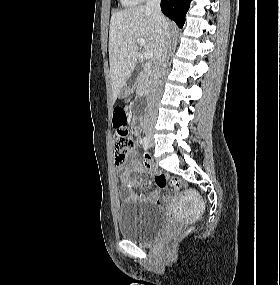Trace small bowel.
<instances>
[{
  "mask_svg": "<svg viewBox=\"0 0 280 285\" xmlns=\"http://www.w3.org/2000/svg\"><path fill=\"white\" fill-rule=\"evenodd\" d=\"M134 134L138 133V129H134ZM119 168V178L121 182L120 196L123 200H131L143 198L157 205H163L165 199L161 194V190L157 189L148 196H143L136 193L134 190L141 186V183L146 178V174L155 175L157 168L149 159L144 158L140 161L134 152L129 154L128 162L116 163Z\"/></svg>",
  "mask_w": 280,
  "mask_h": 285,
  "instance_id": "obj_1",
  "label": "small bowel"
}]
</instances>
